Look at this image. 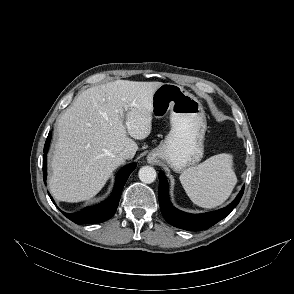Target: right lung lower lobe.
<instances>
[{"label": "right lung lower lobe", "instance_id": "right-lung-lower-lobe-1", "mask_svg": "<svg viewBox=\"0 0 294 294\" xmlns=\"http://www.w3.org/2000/svg\"><path fill=\"white\" fill-rule=\"evenodd\" d=\"M51 139V133H49L47 140L45 142L44 146V155H43V179L44 182L46 181V174H47V167H46V153L48 151L49 147V142ZM136 164L132 163L126 167H124L117 175L116 181H115V186L113 189L112 195L104 201L103 203L96 205V206H91L83 209L80 212L73 213V214H67L63 213L68 219L73 221L74 223L77 224H91V223H101L109 218H111L118 207L119 200L121 197L122 189L124 187V184L126 183L129 175L131 172L135 169ZM51 197V196H50ZM51 200L54 203V200L51 197Z\"/></svg>", "mask_w": 294, "mask_h": 294}]
</instances>
